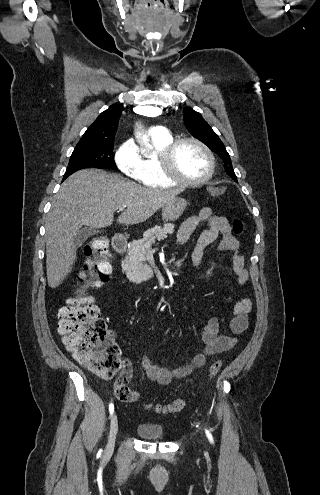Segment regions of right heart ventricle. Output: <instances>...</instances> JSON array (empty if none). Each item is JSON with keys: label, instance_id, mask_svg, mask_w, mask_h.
I'll list each match as a JSON object with an SVG mask.
<instances>
[{"label": "right heart ventricle", "instance_id": "obj_1", "mask_svg": "<svg viewBox=\"0 0 320 495\" xmlns=\"http://www.w3.org/2000/svg\"><path fill=\"white\" fill-rule=\"evenodd\" d=\"M148 140L153 148V152L141 158L143 184L151 188H170L177 185L163 174L160 165V154L173 141L172 136L160 137L148 135Z\"/></svg>", "mask_w": 320, "mask_h": 495}]
</instances>
